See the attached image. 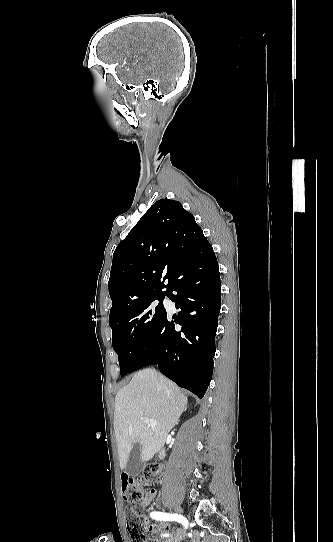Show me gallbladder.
<instances>
[{"label": "gallbladder", "instance_id": "1", "mask_svg": "<svg viewBox=\"0 0 333 542\" xmlns=\"http://www.w3.org/2000/svg\"><path fill=\"white\" fill-rule=\"evenodd\" d=\"M144 466L145 462H142L141 460V446L137 442L129 454L125 470L129 476L135 478V476H138V474L142 472Z\"/></svg>", "mask_w": 333, "mask_h": 542}]
</instances>
